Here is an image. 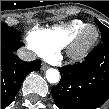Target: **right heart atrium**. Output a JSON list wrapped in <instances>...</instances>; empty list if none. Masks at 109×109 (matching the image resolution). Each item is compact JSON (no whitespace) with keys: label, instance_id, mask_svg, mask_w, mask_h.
<instances>
[{"label":"right heart atrium","instance_id":"d8ad5b80","mask_svg":"<svg viewBox=\"0 0 109 109\" xmlns=\"http://www.w3.org/2000/svg\"><path fill=\"white\" fill-rule=\"evenodd\" d=\"M28 45H29V48L34 52L36 53L37 55L39 56H42L43 57V54H42V51L41 49L32 41H28Z\"/></svg>","mask_w":109,"mask_h":109}]
</instances>
